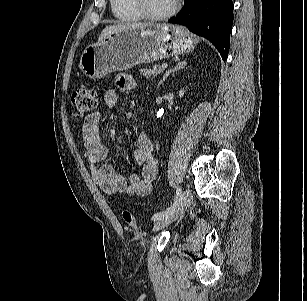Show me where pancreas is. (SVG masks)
Listing matches in <instances>:
<instances>
[{
    "instance_id": "pancreas-1",
    "label": "pancreas",
    "mask_w": 307,
    "mask_h": 301,
    "mask_svg": "<svg viewBox=\"0 0 307 301\" xmlns=\"http://www.w3.org/2000/svg\"><path fill=\"white\" fill-rule=\"evenodd\" d=\"M162 71L163 70L158 65L153 66L152 69H140L141 74H143L146 78L155 77Z\"/></svg>"
}]
</instances>
